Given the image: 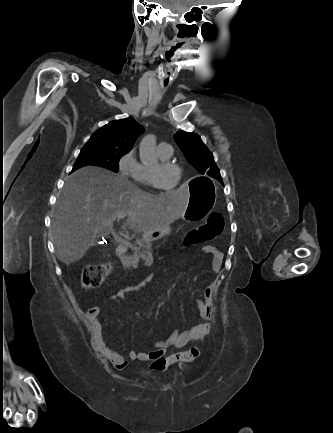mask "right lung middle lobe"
Returning a JSON list of instances; mask_svg holds the SVG:
<instances>
[{
    "instance_id": "right-lung-middle-lobe-1",
    "label": "right lung middle lobe",
    "mask_w": 333,
    "mask_h": 433,
    "mask_svg": "<svg viewBox=\"0 0 333 433\" xmlns=\"http://www.w3.org/2000/svg\"><path fill=\"white\" fill-rule=\"evenodd\" d=\"M126 153H128V151L95 145H85L82 148L73 169H78L85 165H98L117 172L119 160Z\"/></svg>"
}]
</instances>
